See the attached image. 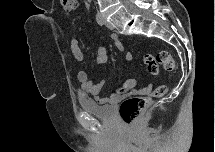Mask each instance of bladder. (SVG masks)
Wrapping results in <instances>:
<instances>
[{
    "mask_svg": "<svg viewBox=\"0 0 215 152\" xmlns=\"http://www.w3.org/2000/svg\"><path fill=\"white\" fill-rule=\"evenodd\" d=\"M79 104L85 112L100 119L111 120L114 117V109L110 104L103 105L90 97L84 96L79 98Z\"/></svg>",
    "mask_w": 215,
    "mask_h": 152,
    "instance_id": "obj_1",
    "label": "bladder"
}]
</instances>
